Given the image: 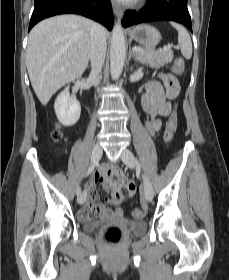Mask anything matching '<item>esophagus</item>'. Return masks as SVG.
Instances as JSON below:
<instances>
[{
  "label": "esophagus",
  "mask_w": 229,
  "mask_h": 280,
  "mask_svg": "<svg viewBox=\"0 0 229 280\" xmlns=\"http://www.w3.org/2000/svg\"><path fill=\"white\" fill-rule=\"evenodd\" d=\"M112 8L115 16L120 19L123 15V10L120 5H118L115 1H112Z\"/></svg>",
  "instance_id": "esophagus-1"
}]
</instances>
